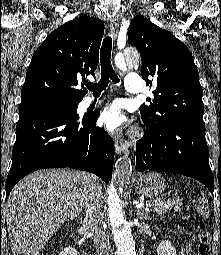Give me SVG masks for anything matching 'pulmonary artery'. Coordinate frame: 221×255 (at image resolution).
I'll return each mask as SVG.
<instances>
[{"mask_svg":"<svg viewBox=\"0 0 221 255\" xmlns=\"http://www.w3.org/2000/svg\"><path fill=\"white\" fill-rule=\"evenodd\" d=\"M125 89L128 92H132V93H138L142 91V78L139 74H134V73H130L126 76L125 78ZM99 98L95 99V98H88L87 99V104H92L95 101H98Z\"/></svg>","mask_w":221,"mask_h":255,"instance_id":"pulmonary-artery-1","label":"pulmonary artery"}]
</instances>
